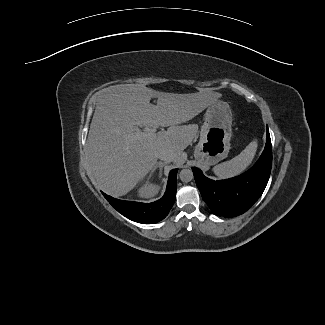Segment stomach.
<instances>
[{
  "instance_id": "stomach-1",
  "label": "stomach",
  "mask_w": 325,
  "mask_h": 325,
  "mask_svg": "<svg viewBox=\"0 0 325 325\" xmlns=\"http://www.w3.org/2000/svg\"><path fill=\"white\" fill-rule=\"evenodd\" d=\"M232 112L228 103L217 100L208 106L194 157L209 166L227 157L232 136Z\"/></svg>"
}]
</instances>
